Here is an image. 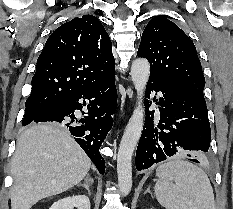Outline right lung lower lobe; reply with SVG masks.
Returning a JSON list of instances; mask_svg holds the SVG:
<instances>
[{"instance_id": "obj_1", "label": "right lung lower lobe", "mask_w": 233, "mask_h": 209, "mask_svg": "<svg viewBox=\"0 0 233 209\" xmlns=\"http://www.w3.org/2000/svg\"><path fill=\"white\" fill-rule=\"evenodd\" d=\"M114 78L115 74L89 89L63 97L31 122L50 121L69 129L70 133L75 136L76 142L101 174L105 172V161L99 148L112 127L111 115L114 113L117 103ZM80 99L89 100L88 116L78 119L75 117L74 111L81 110L86 105L85 101L83 104L80 103ZM82 113L85 114V112Z\"/></svg>"}]
</instances>
